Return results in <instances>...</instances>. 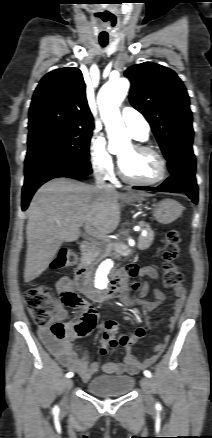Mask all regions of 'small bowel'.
I'll list each match as a JSON object with an SVG mask.
<instances>
[{"label": "small bowel", "mask_w": 212, "mask_h": 438, "mask_svg": "<svg viewBox=\"0 0 212 438\" xmlns=\"http://www.w3.org/2000/svg\"><path fill=\"white\" fill-rule=\"evenodd\" d=\"M136 276L148 277L153 280H156L159 277L156 268L152 266L138 267L134 264L126 266L118 276L123 282V298H125L127 294V278ZM56 288L59 295H62L64 291L73 290V283L70 278L64 276L58 280ZM133 290L140 298L145 297L150 291L154 294L155 300L136 303L138 307L144 310H154L158 308L167 298L162 290L151 287L149 283H144L143 285L135 284ZM174 293L176 295V300L173 305V315L169 321V331L174 329L175 323L184 306L186 289L180 284L174 287ZM69 307L77 309L81 313V317L77 320L65 321L67 318V310L61 305H56L54 314L55 320L60 322L65 321L63 324L69 331L78 324H84L88 328L87 333H90L95 328L98 320L96 309L80 298L76 304ZM151 327L152 322L148 321L144 326L139 327L134 334L126 335L118 333L119 324L117 321L109 320L105 322L102 334V344L100 347L101 354L104 355L110 349H114L118 345H121L126 350V356L124 360L108 361L102 365L98 362L89 363L86 354L80 356V348L77 345L71 343L69 339L59 340L55 338L48 328L41 327L39 329V335L49 350L60 360L63 366L76 372L84 382H87L99 372L106 374L128 373L134 375L152 364L156 360L157 355L162 352L169 342V335L165 336L163 342L155 348L157 355L145 360H139L132 354L133 344L136 340L145 337Z\"/></svg>", "instance_id": "c3829d8e"}]
</instances>
